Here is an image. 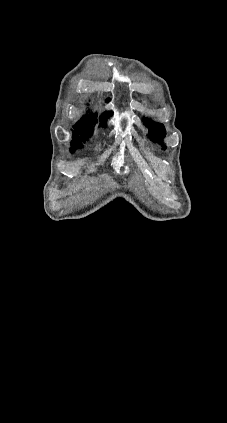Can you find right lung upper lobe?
Returning <instances> with one entry per match:
<instances>
[{
    "instance_id": "obj_1",
    "label": "right lung upper lobe",
    "mask_w": 227,
    "mask_h": 423,
    "mask_svg": "<svg viewBox=\"0 0 227 423\" xmlns=\"http://www.w3.org/2000/svg\"><path fill=\"white\" fill-rule=\"evenodd\" d=\"M110 112L104 113L100 116L99 120H100V125L102 127L106 126V118L110 115ZM93 118L90 117H83L75 126V134L76 135V140L73 143H77L80 142L81 140L85 141L86 139L89 138V136L92 134L93 132ZM79 134L81 136H79Z\"/></svg>"
}]
</instances>
